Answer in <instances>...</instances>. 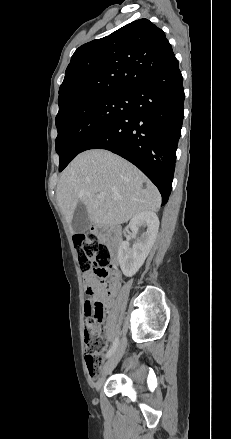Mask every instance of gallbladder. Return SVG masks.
<instances>
[{
    "mask_svg": "<svg viewBox=\"0 0 231 439\" xmlns=\"http://www.w3.org/2000/svg\"><path fill=\"white\" fill-rule=\"evenodd\" d=\"M90 224L86 206L79 203L75 209L72 227L75 232H84Z\"/></svg>",
    "mask_w": 231,
    "mask_h": 439,
    "instance_id": "1",
    "label": "gallbladder"
}]
</instances>
